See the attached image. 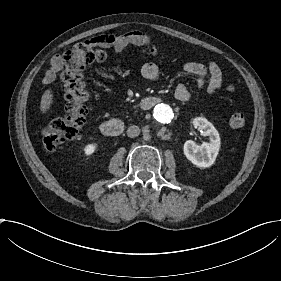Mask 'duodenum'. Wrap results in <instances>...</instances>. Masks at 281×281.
I'll list each match as a JSON object with an SVG mask.
<instances>
[{
    "label": "duodenum",
    "instance_id": "obj_1",
    "mask_svg": "<svg viewBox=\"0 0 281 281\" xmlns=\"http://www.w3.org/2000/svg\"><path fill=\"white\" fill-rule=\"evenodd\" d=\"M161 99L156 96H148L140 100L139 106L143 110L153 108L159 104ZM100 130L107 136H119L124 130V122L118 118H112L103 122L100 126Z\"/></svg>",
    "mask_w": 281,
    "mask_h": 281
}]
</instances>
